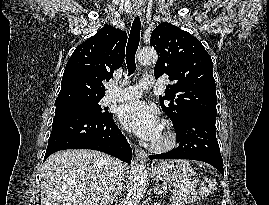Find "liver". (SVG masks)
I'll list each match as a JSON object with an SVG mask.
<instances>
[{"instance_id":"6515ba94","label":"liver","mask_w":269,"mask_h":205,"mask_svg":"<svg viewBox=\"0 0 269 205\" xmlns=\"http://www.w3.org/2000/svg\"><path fill=\"white\" fill-rule=\"evenodd\" d=\"M110 159L94 150H66L51 155L41 175V205H98Z\"/></svg>"}]
</instances>
